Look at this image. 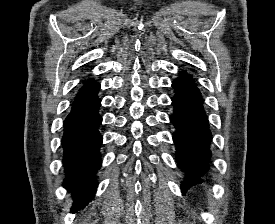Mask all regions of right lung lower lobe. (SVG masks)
I'll list each match as a JSON object with an SVG mask.
<instances>
[{
  "instance_id": "98d812e1",
  "label": "right lung lower lobe",
  "mask_w": 275,
  "mask_h": 224,
  "mask_svg": "<svg viewBox=\"0 0 275 224\" xmlns=\"http://www.w3.org/2000/svg\"><path fill=\"white\" fill-rule=\"evenodd\" d=\"M100 84L89 79L80 89L64 121L62 137L64 186L73 195L72 211L89 203L97 189L96 172L101 166L102 117L97 97Z\"/></svg>"
}]
</instances>
